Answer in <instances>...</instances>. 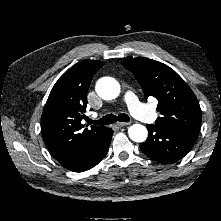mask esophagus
Masks as SVG:
<instances>
[{
  "label": "esophagus",
  "instance_id": "esophagus-1",
  "mask_svg": "<svg viewBox=\"0 0 221 221\" xmlns=\"http://www.w3.org/2000/svg\"><path fill=\"white\" fill-rule=\"evenodd\" d=\"M128 125H130L129 122H118L117 123V126H119V127H125V126H128Z\"/></svg>",
  "mask_w": 221,
  "mask_h": 221
}]
</instances>
